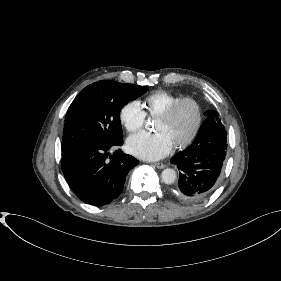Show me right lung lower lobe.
Instances as JSON below:
<instances>
[{"mask_svg": "<svg viewBox=\"0 0 281 281\" xmlns=\"http://www.w3.org/2000/svg\"><path fill=\"white\" fill-rule=\"evenodd\" d=\"M122 144L123 138L106 144L80 145L62 154L64 177L81 201L102 206L120 195L128 172L139 164L120 149L109 156L111 148Z\"/></svg>", "mask_w": 281, "mask_h": 281, "instance_id": "98d812e1", "label": "right lung lower lobe"}]
</instances>
